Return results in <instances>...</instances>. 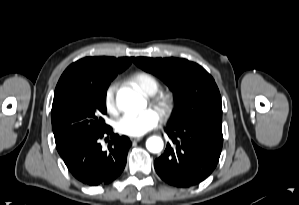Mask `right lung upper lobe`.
<instances>
[{"label": "right lung upper lobe", "mask_w": 299, "mask_h": 205, "mask_svg": "<svg viewBox=\"0 0 299 205\" xmlns=\"http://www.w3.org/2000/svg\"><path fill=\"white\" fill-rule=\"evenodd\" d=\"M133 59V57H86L71 64L58 81L52 107L71 84L115 77L125 70Z\"/></svg>", "instance_id": "1"}]
</instances>
